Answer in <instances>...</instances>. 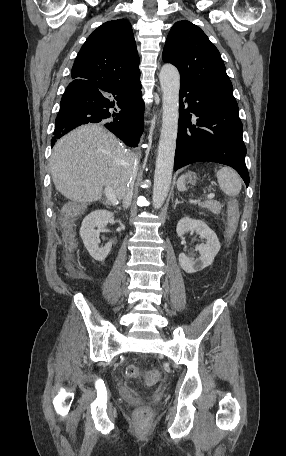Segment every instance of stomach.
Listing matches in <instances>:
<instances>
[{"label":"stomach","instance_id":"stomach-1","mask_svg":"<svg viewBox=\"0 0 286 456\" xmlns=\"http://www.w3.org/2000/svg\"><path fill=\"white\" fill-rule=\"evenodd\" d=\"M185 178L187 179L188 183L195 184L196 183V179H197V175L194 172H188L186 174Z\"/></svg>","mask_w":286,"mask_h":456}]
</instances>
